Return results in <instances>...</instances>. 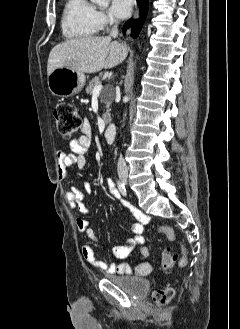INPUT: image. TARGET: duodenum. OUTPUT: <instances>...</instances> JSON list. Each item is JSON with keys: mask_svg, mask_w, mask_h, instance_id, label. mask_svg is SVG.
Masks as SVG:
<instances>
[{"mask_svg": "<svg viewBox=\"0 0 240 329\" xmlns=\"http://www.w3.org/2000/svg\"><path fill=\"white\" fill-rule=\"evenodd\" d=\"M115 135H116V127L114 124H109L107 125V127L105 128L104 131V138L108 143H112L115 139Z\"/></svg>", "mask_w": 240, "mask_h": 329, "instance_id": "obj_1", "label": "duodenum"}]
</instances>
